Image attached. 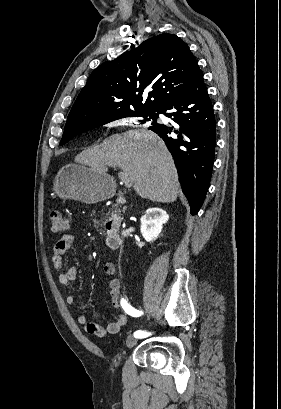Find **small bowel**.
I'll return each instance as SVG.
<instances>
[{
    "label": "small bowel",
    "instance_id": "c3829d8e",
    "mask_svg": "<svg viewBox=\"0 0 281 409\" xmlns=\"http://www.w3.org/2000/svg\"><path fill=\"white\" fill-rule=\"evenodd\" d=\"M75 240L76 237L74 234H64L56 242L53 250L54 253L52 260L58 272L59 283L64 288H68L71 282L74 281L77 276V269L75 267L65 268L63 265V255L71 248V246L75 243ZM103 271L107 277H111L115 273L116 267L114 263L107 262L103 267ZM106 289L111 297L113 307L117 310H120L122 307L120 280L110 278L107 281ZM66 303L73 309H76L78 306L75 296L70 293H67L66 295ZM76 319L78 324L83 327L85 332L96 337H104L108 334H116L126 323V317L120 314L114 315L113 319L106 326L90 322L88 317L83 313H79Z\"/></svg>",
    "mask_w": 281,
    "mask_h": 409
}]
</instances>
